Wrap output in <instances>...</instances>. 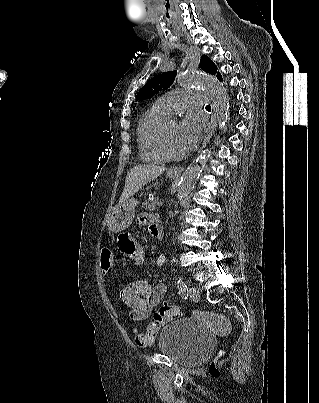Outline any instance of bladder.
<instances>
[{
    "label": "bladder",
    "instance_id": "1",
    "mask_svg": "<svg viewBox=\"0 0 319 403\" xmlns=\"http://www.w3.org/2000/svg\"><path fill=\"white\" fill-rule=\"evenodd\" d=\"M213 344L212 334L192 319H177L166 324L157 339L160 353L182 366L203 361Z\"/></svg>",
    "mask_w": 319,
    "mask_h": 403
}]
</instances>
